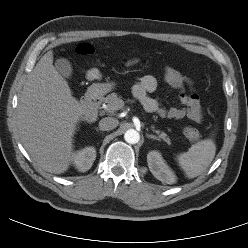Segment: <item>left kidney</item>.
Instances as JSON below:
<instances>
[{"instance_id":"left-kidney-1","label":"left kidney","mask_w":248,"mask_h":248,"mask_svg":"<svg viewBox=\"0 0 248 248\" xmlns=\"http://www.w3.org/2000/svg\"><path fill=\"white\" fill-rule=\"evenodd\" d=\"M147 163L153 176L162 183L173 184L176 182V176L173 171L164 162L161 154L157 151H151L147 155Z\"/></svg>"}]
</instances>
